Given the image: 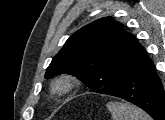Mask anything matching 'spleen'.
I'll return each mask as SVG.
<instances>
[{
    "instance_id": "spleen-1",
    "label": "spleen",
    "mask_w": 165,
    "mask_h": 120,
    "mask_svg": "<svg viewBox=\"0 0 165 120\" xmlns=\"http://www.w3.org/2000/svg\"><path fill=\"white\" fill-rule=\"evenodd\" d=\"M112 120H152L142 109L130 103L110 101L106 105Z\"/></svg>"
}]
</instances>
